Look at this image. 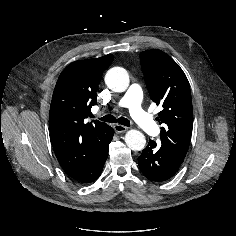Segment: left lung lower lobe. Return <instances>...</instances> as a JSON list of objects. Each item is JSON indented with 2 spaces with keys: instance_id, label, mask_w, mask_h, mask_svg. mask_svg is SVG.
<instances>
[{
  "instance_id": "obj_1",
  "label": "left lung lower lobe",
  "mask_w": 236,
  "mask_h": 236,
  "mask_svg": "<svg viewBox=\"0 0 236 236\" xmlns=\"http://www.w3.org/2000/svg\"><path fill=\"white\" fill-rule=\"evenodd\" d=\"M182 159L149 140L147 147L138 158V164L145 177L154 182L170 179L179 170Z\"/></svg>"
}]
</instances>
